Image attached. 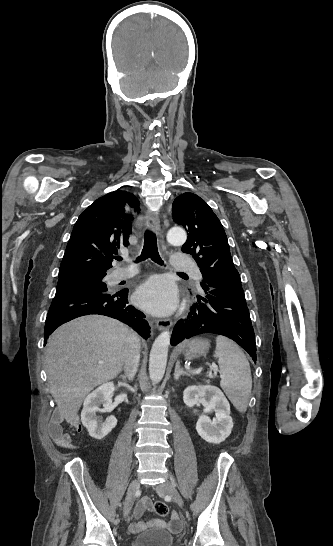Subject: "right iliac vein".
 <instances>
[{"instance_id":"right-iliac-vein-1","label":"right iliac vein","mask_w":333,"mask_h":546,"mask_svg":"<svg viewBox=\"0 0 333 546\" xmlns=\"http://www.w3.org/2000/svg\"><path fill=\"white\" fill-rule=\"evenodd\" d=\"M140 488V482L138 479L133 480L128 488L127 495H126V501L124 504V516L127 517L130 513L131 506L135 497V494Z\"/></svg>"}]
</instances>
